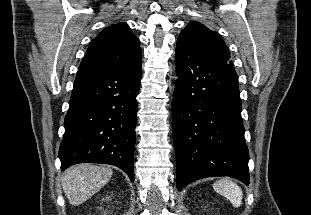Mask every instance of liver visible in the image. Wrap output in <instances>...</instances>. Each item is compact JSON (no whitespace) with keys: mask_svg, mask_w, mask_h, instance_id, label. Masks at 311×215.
<instances>
[{"mask_svg":"<svg viewBox=\"0 0 311 215\" xmlns=\"http://www.w3.org/2000/svg\"><path fill=\"white\" fill-rule=\"evenodd\" d=\"M111 168L93 164L70 167L62 178L64 193L73 206H78L98 192L111 179Z\"/></svg>","mask_w":311,"mask_h":215,"instance_id":"1","label":"liver"}]
</instances>
